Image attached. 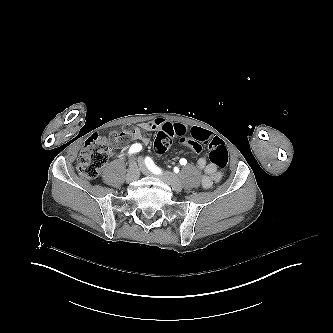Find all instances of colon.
I'll return each instance as SVG.
<instances>
[{
    "instance_id": "obj_1",
    "label": "colon",
    "mask_w": 333,
    "mask_h": 333,
    "mask_svg": "<svg viewBox=\"0 0 333 333\" xmlns=\"http://www.w3.org/2000/svg\"><path fill=\"white\" fill-rule=\"evenodd\" d=\"M184 126L187 128L185 133H183ZM135 134V127L127 125L120 130L110 129L107 135L91 136L85 142L78 159L77 168L81 175L88 179L96 178L107 162L109 147L120 149L124 142ZM173 139H176V147L187 144V147L196 154L202 153L205 146L209 145L208 157L211 163L219 169H225L228 165V150L225 143L219 138H214L213 134L206 129L180 123L167 124L157 132L154 148L160 153L167 152Z\"/></svg>"
}]
</instances>
